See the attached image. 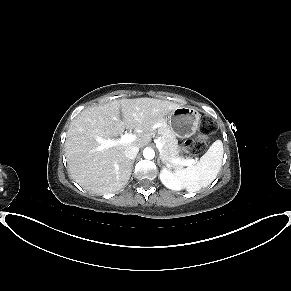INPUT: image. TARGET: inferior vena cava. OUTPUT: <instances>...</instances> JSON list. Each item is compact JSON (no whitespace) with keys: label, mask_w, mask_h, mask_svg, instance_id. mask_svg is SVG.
<instances>
[{"label":"inferior vena cava","mask_w":291,"mask_h":291,"mask_svg":"<svg viewBox=\"0 0 291 291\" xmlns=\"http://www.w3.org/2000/svg\"><path fill=\"white\" fill-rule=\"evenodd\" d=\"M139 152L138 146H129L125 149L124 154L129 160H133L136 158Z\"/></svg>","instance_id":"obj_1"}]
</instances>
